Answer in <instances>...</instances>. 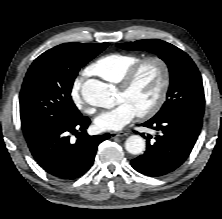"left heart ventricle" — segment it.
<instances>
[{
    "mask_svg": "<svg viewBox=\"0 0 222 219\" xmlns=\"http://www.w3.org/2000/svg\"><path fill=\"white\" fill-rule=\"evenodd\" d=\"M161 83L160 71L153 63L146 64L128 91L119 89L118 102L130 103L136 112L147 109L156 99Z\"/></svg>",
    "mask_w": 222,
    "mask_h": 219,
    "instance_id": "obj_1",
    "label": "left heart ventricle"
}]
</instances>
